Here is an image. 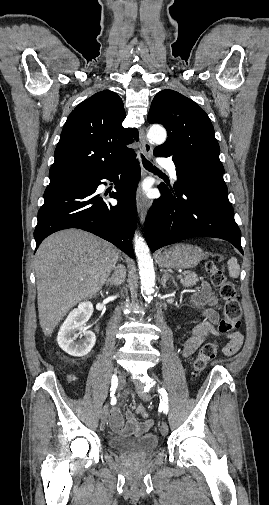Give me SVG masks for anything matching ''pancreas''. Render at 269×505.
I'll list each match as a JSON object with an SVG mask.
<instances>
[{
	"instance_id": "obj_1",
	"label": "pancreas",
	"mask_w": 269,
	"mask_h": 505,
	"mask_svg": "<svg viewBox=\"0 0 269 505\" xmlns=\"http://www.w3.org/2000/svg\"><path fill=\"white\" fill-rule=\"evenodd\" d=\"M183 275L184 278L180 282L184 287H192L199 281L197 274L194 272H185Z\"/></svg>"
}]
</instances>
